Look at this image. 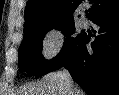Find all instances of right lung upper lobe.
<instances>
[{
	"instance_id": "right-lung-upper-lobe-1",
	"label": "right lung upper lobe",
	"mask_w": 119,
	"mask_h": 95,
	"mask_svg": "<svg viewBox=\"0 0 119 95\" xmlns=\"http://www.w3.org/2000/svg\"><path fill=\"white\" fill-rule=\"evenodd\" d=\"M84 0H28L24 33L44 24L74 21L73 13ZM87 18L94 21L119 9V0H89Z\"/></svg>"
}]
</instances>
